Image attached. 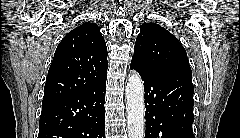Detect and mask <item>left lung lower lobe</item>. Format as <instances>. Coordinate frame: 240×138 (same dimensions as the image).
<instances>
[{
  "instance_id": "obj_1",
  "label": "left lung lower lobe",
  "mask_w": 240,
  "mask_h": 138,
  "mask_svg": "<svg viewBox=\"0 0 240 138\" xmlns=\"http://www.w3.org/2000/svg\"><path fill=\"white\" fill-rule=\"evenodd\" d=\"M145 91V138H195L192 73L184 71L151 72L136 64Z\"/></svg>"
}]
</instances>
